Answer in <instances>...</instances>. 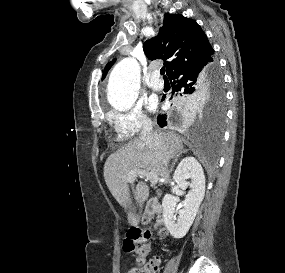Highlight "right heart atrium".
I'll use <instances>...</instances> for the list:
<instances>
[{
    "label": "right heart atrium",
    "mask_w": 285,
    "mask_h": 273,
    "mask_svg": "<svg viewBox=\"0 0 285 273\" xmlns=\"http://www.w3.org/2000/svg\"><path fill=\"white\" fill-rule=\"evenodd\" d=\"M115 130L122 138H131L147 129L150 119L140 105H134L126 110H115L111 113Z\"/></svg>",
    "instance_id": "right-heart-atrium-1"
}]
</instances>
